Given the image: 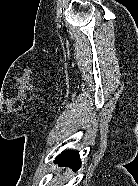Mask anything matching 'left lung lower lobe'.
I'll return each mask as SVG.
<instances>
[{"label": "left lung lower lobe", "mask_w": 138, "mask_h": 186, "mask_svg": "<svg viewBox=\"0 0 138 186\" xmlns=\"http://www.w3.org/2000/svg\"><path fill=\"white\" fill-rule=\"evenodd\" d=\"M56 162L63 166H69L75 171L78 170L81 165L79 154L74 151H64L56 158Z\"/></svg>", "instance_id": "1"}]
</instances>
